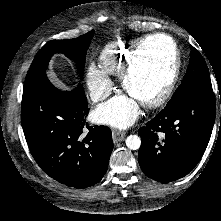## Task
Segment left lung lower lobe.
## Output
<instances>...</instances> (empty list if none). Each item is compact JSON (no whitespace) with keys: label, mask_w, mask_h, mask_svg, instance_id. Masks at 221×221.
Here are the masks:
<instances>
[{"label":"left lung lower lobe","mask_w":221,"mask_h":221,"mask_svg":"<svg viewBox=\"0 0 221 221\" xmlns=\"http://www.w3.org/2000/svg\"><path fill=\"white\" fill-rule=\"evenodd\" d=\"M216 115L213 91L193 89L139 129V164L153 180L170 182L187 175L208 145Z\"/></svg>","instance_id":"1"}]
</instances>
